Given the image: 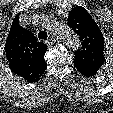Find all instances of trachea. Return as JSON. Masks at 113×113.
Listing matches in <instances>:
<instances>
[{
	"instance_id": "obj_1",
	"label": "trachea",
	"mask_w": 113,
	"mask_h": 113,
	"mask_svg": "<svg viewBox=\"0 0 113 113\" xmlns=\"http://www.w3.org/2000/svg\"><path fill=\"white\" fill-rule=\"evenodd\" d=\"M48 37L47 32L46 31H40L38 33V38L39 40H46Z\"/></svg>"
}]
</instances>
